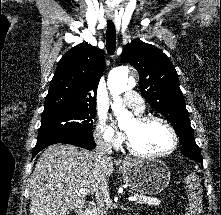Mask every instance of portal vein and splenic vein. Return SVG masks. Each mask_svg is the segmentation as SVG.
I'll use <instances>...</instances> for the list:
<instances>
[{"mask_svg":"<svg viewBox=\"0 0 221 215\" xmlns=\"http://www.w3.org/2000/svg\"><path fill=\"white\" fill-rule=\"evenodd\" d=\"M77 193L78 194H82V195H87L88 194V190H86V189H79V190H77ZM138 199H139L138 196H131V197L128 198L129 201H136Z\"/></svg>","mask_w":221,"mask_h":215,"instance_id":"1","label":"portal vein and splenic vein"}]
</instances>
